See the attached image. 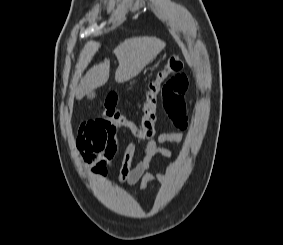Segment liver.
<instances>
[{
	"instance_id": "6515ba94",
	"label": "liver",
	"mask_w": 283,
	"mask_h": 245,
	"mask_svg": "<svg viewBox=\"0 0 283 245\" xmlns=\"http://www.w3.org/2000/svg\"><path fill=\"white\" fill-rule=\"evenodd\" d=\"M165 47V42L156 37H133L120 43L115 49L119 66L115 72V81L126 82L136 77L143 68L152 61ZM110 61L94 65L81 80L76 97L82 98L85 94L104 85L109 79Z\"/></svg>"
}]
</instances>
